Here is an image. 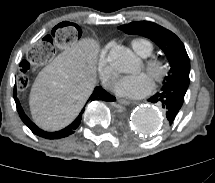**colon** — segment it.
Returning <instances> with one entry per match:
<instances>
[{
    "mask_svg": "<svg viewBox=\"0 0 215 183\" xmlns=\"http://www.w3.org/2000/svg\"><path fill=\"white\" fill-rule=\"evenodd\" d=\"M83 35V27L76 20H64L48 32L34 40L27 57L17 64L21 75L14 82L15 91L21 96L30 95L35 89L31 77H43L51 69L53 59L64 50L77 44Z\"/></svg>",
    "mask_w": 215,
    "mask_h": 183,
    "instance_id": "5ec220e1",
    "label": "colon"
}]
</instances>
